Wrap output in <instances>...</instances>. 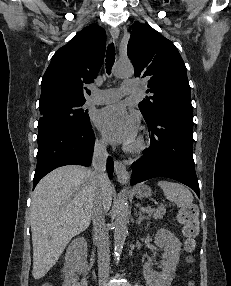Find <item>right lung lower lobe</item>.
Instances as JSON below:
<instances>
[{
	"label": "right lung lower lobe",
	"mask_w": 231,
	"mask_h": 286,
	"mask_svg": "<svg viewBox=\"0 0 231 286\" xmlns=\"http://www.w3.org/2000/svg\"><path fill=\"white\" fill-rule=\"evenodd\" d=\"M37 167L33 188L53 169L64 165L89 166L94 147L91 124H63L38 134ZM113 160L107 159L109 177L113 173Z\"/></svg>",
	"instance_id": "98d812e1"
}]
</instances>
